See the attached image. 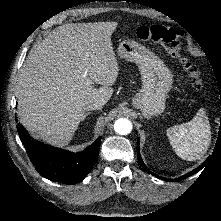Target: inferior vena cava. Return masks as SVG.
<instances>
[{
    "instance_id": "inferior-vena-cava-1",
    "label": "inferior vena cava",
    "mask_w": 221,
    "mask_h": 221,
    "mask_svg": "<svg viewBox=\"0 0 221 221\" xmlns=\"http://www.w3.org/2000/svg\"><path fill=\"white\" fill-rule=\"evenodd\" d=\"M103 107V103L99 100H89L84 104V110H99Z\"/></svg>"
}]
</instances>
